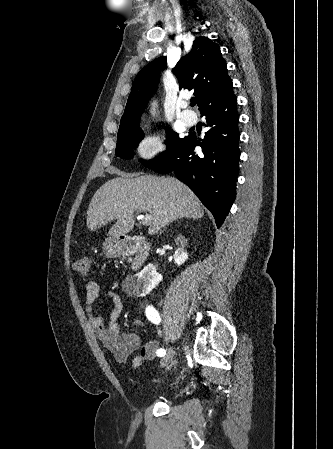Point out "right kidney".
I'll return each instance as SVG.
<instances>
[{
  "label": "right kidney",
  "instance_id": "right-kidney-1",
  "mask_svg": "<svg viewBox=\"0 0 333 449\" xmlns=\"http://www.w3.org/2000/svg\"><path fill=\"white\" fill-rule=\"evenodd\" d=\"M188 259L184 245L178 248L174 254L175 264L181 265ZM163 276L159 274L153 264L145 266L135 276V292L139 296H145L151 292L161 281Z\"/></svg>",
  "mask_w": 333,
  "mask_h": 449
}]
</instances>
